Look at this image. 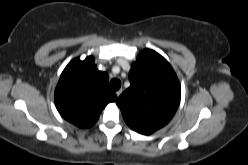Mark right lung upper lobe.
<instances>
[{"mask_svg": "<svg viewBox=\"0 0 248 165\" xmlns=\"http://www.w3.org/2000/svg\"><path fill=\"white\" fill-rule=\"evenodd\" d=\"M109 76L87 56L73 59L62 72L55 89V104L60 115L80 128L96 123L103 108L117 99L108 87Z\"/></svg>", "mask_w": 248, "mask_h": 165, "instance_id": "obj_1", "label": "right lung upper lobe"}]
</instances>
